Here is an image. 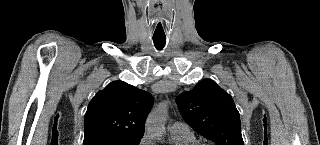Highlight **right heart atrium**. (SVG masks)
<instances>
[{"label":"right heart atrium","mask_w":320,"mask_h":145,"mask_svg":"<svg viewBox=\"0 0 320 145\" xmlns=\"http://www.w3.org/2000/svg\"><path fill=\"white\" fill-rule=\"evenodd\" d=\"M140 145H152L151 139L148 135H144L141 139H140Z\"/></svg>","instance_id":"obj_1"}]
</instances>
